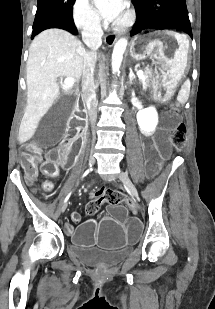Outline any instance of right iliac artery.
Returning a JSON list of instances; mask_svg holds the SVG:
<instances>
[{
	"instance_id": "1",
	"label": "right iliac artery",
	"mask_w": 215,
	"mask_h": 309,
	"mask_svg": "<svg viewBox=\"0 0 215 309\" xmlns=\"http://www.w3.org/2000/svg\"><path fill=\"white\" fill-rule=\"evenodd\" d=\"M90 170H91V169H90ZM87 173H89V170H87V171L84 173L83 177H84ZM70 195H71V192H69V194L66 196V198H65V200H64V204H66V202L68 201Z\"/></svg>"
}]
</instances>
